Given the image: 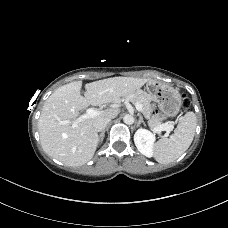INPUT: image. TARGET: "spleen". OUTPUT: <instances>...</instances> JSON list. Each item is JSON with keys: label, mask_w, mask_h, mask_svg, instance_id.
I'll return each mask as SVG.
<instances>
[{"label": "spleen", "mask_w": 228, "mask_h": 228, "mask_svg": "<svg viewBox=\"0 0 228 228\" xmlns=\"http://www.w3.org/2000/svg\"><path fill=\"white\" fill-rule=\"evenodd\" d=\"M196 116L187 112L179 121L170 137L161 138L154 146V158L160 164H169L178 159L191 145L196 129Z\"/></svg>", "instance_id": "spleen-1"}]
</instances>
